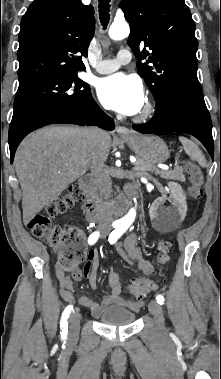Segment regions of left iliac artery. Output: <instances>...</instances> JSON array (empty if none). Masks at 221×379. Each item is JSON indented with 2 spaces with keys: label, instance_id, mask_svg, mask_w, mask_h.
Wrapping results in <instances>:
<instances>
[{
  "label": "left iliac artery",
  "instance_id": "obj_1",
  "mask_svg": "<svg viewBox=\"0 0 221 379\" xmlns=\"http://www.w3.org/2000/svg\"><path fill=\"white\" fill-rule=\"evenodd\" d=\"M125 228L124 227H117L110 235H109V242L110 244H114L121 236L122 234L125 232ZM156 301L157 303L163 305L164 304V301H165V298L163 295L161 294H158L156 296Z\"/></svg>",
  "mask_w": 221,
  "mask_h": 379
}]
</instances>
